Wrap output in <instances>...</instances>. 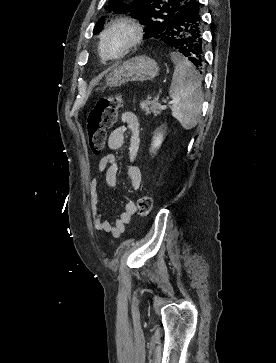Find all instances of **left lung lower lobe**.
I'll use <instances>...</instances> for the list:
<instances>
[{
  "mask_svg": "<svg viewBox=\"0 0 276 363\" xmlns=\"http://www.w3.org/2000/svg\"><path fill=\"white\" fill-rule=\"evenodd\" d=\"M168 26V29L159 34L157 38L186 56L192 62L194 69L201 73L204 56L199 1L191 0L183 6Z\"/></svg>",
  "mask_w": 276,
  "mask_h": 363,
  "instance_id": "left-lung-lower-lobe-1",
  "label": "left lung lower lobe"
}]
</instances>
